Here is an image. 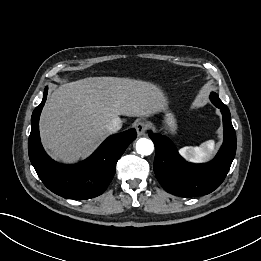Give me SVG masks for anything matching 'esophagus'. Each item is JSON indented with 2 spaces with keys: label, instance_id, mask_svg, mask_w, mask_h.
Segmentation results:
<instances>
[{
  "label": "esophagus",
  "instance_id": "esophagus-1",
  "mask_svg": "<svg viewBox=\"0 0 261 261\" xmlns=\"http://www.w3.org/2000/svg\"><path fill=\"white\" fill-rule=\"evenodd\" d=\"M148 125L144 121H139L135 125V129L137 131L138 136L144 135L145 132L147 131Z\"/></svg>",
  "mask_w": 261,
  "mask_h": 261
}]
</instances>
